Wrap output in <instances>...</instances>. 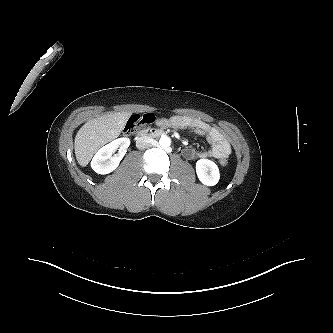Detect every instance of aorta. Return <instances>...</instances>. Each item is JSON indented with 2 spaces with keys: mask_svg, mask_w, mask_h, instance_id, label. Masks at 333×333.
<instances>
[{
  "mask_svg": "<svg viewBox=\"0 0 333 333\" xmlns=\"http://www.w3.org/2000/svg\"><path fill=\"white\" fill-rule=\"evenodd\" d=\"M159 144H160L161 147L166 148V147H169L171 145V140L167 136H162L159 140Z\"/></svg>",
  "mask_w": 333,
  "mask_h": 333,
  "instance_id": "obj_1",
  "label": "aorta"
}]
</instances>
